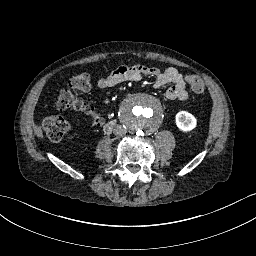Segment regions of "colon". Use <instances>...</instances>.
<instances>
[{"label": "colon", "mask_w": 256, "mask_h": 256, "mask_svg": "<svg viewBox=\"0 0 256 256\" xmlns=\"http://www.w3.org/2000/svg\"><path fill=\"white\" fill-rule=\"evenodd\" d=\"M185 81L190 89L196 93L201 94L204 91V82L199 74L188 73L185 76ZM91 77L87 73H79L74 75L70 81L69 86L60 89L57 93L58 99L56 107L59 110L70 109L74 112L91 114L89 103L75 96L74 91H87L91 87ZM95 123L98 118L93 117ZM70 128L69 122L60 117H48L43 121V129L47 138L54 143L61 142Z\"/></svg>", "instance_id": "colon-1"}]
</instances>
